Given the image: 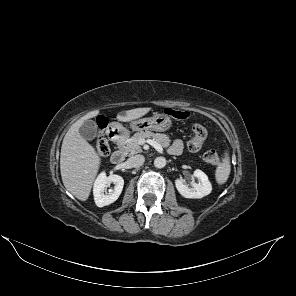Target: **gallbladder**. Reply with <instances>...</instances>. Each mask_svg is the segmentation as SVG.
<instances>
[{
    "label": "gallbladder",
    "instance_id": "bac80fb5",
    "mask_svg": "<svg viewBox=\"0 0 296 296\" xmlns=\"http://www.w3.org/2000/svg\"><path fill=\"white\" fill-rule=\"evenodd\" d=\"M98 127L93 120L85 121L79 128L80 135L86 140H92L97 136Z\"/></svg>",
    "mask_w": 296,
    "mask_h": 296
}]
</instances>
